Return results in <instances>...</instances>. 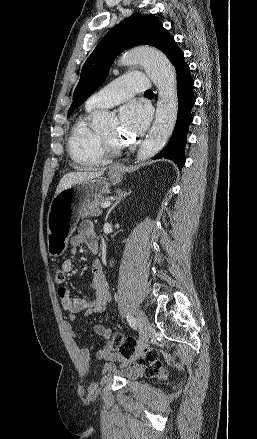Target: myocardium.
I'll list each match as a JSON object with an SVG mask.
<instances>
[{
  "label": "myocardium",
  "mask_w": 257,
  "mask_h": 439,
  "mask_svg": "<svg viewBox=\"0 0 257 439\" xmlns=\"http://www.w3.org/2000/svg\"><path fill=\"white\" fill-rule=\"evenodd\" d=\"M101 141L105 151L111 155H115L121 150V145L117 142V140H109L104 136H101Z\"/></svg>",
  "instance_id": "f54148a6"
}]
</instances>
